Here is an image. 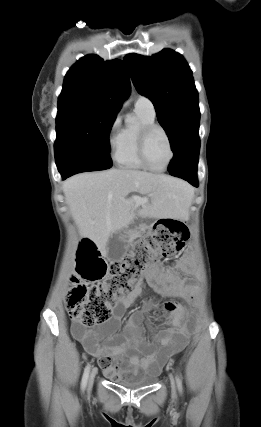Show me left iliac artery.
Segmentation results:
<instances>
[{
    "label": "left iliac artery",
    "instance_id": "obj_1",
    "mask_svg": "<svg viewBox=\"0 0 261 427\" xmlns=\"http://www.w3.org/2000/svg\"><path fill=\"white\" fill-rule=\"evenodd\" d=\"M177 386L180 392H182V382L178 376H176Z\"/></svg>",
    "mask_w": 261,
    "mask_h": 427
}]
</instances>
